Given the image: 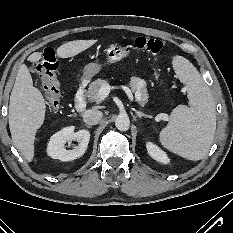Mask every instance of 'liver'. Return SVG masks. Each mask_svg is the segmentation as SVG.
Here are the masks:
<instances>
[{
  "instance_id": "1",
  "label": "liver",
  "mask_w": 233,
  "mask_h": 233,
  "mask_svg": "<svg viewBox=\"0 0 233 233\" xmlns=\"http://www.w3.org/2000/svg\"><path fill=\"white\" fill-rule=\"evenodd\" d=\"M97 40H75L61 45L57 49L60 58L73 57L94 45ZM42 59L41 52L28 57L31 63ZM46 114V102L41 91L33 86V80L25 64L19 67L9 102V128L15 147L28 162L34 160L35 135L43 125Z\"/></svg>"
}]
</instances>
